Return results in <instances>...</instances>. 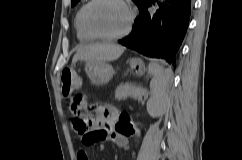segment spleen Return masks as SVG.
Returning <instances> with one entry per match:
<instances>
[{"mask_svg":"<svg viewBox=\"0 0 242 160\" xmlns=\"http://www.w3.org/2000/svg\"><path fill=\"white\" fill-rule=\"evenodd\" d=\"M149 73L153 76L150 87L155 95H163L171 79V70L156 62L149 63Z\"/></svg>","mask_w":242,"mask_h":160,"instance_id":"1","label":"spleen"}]
</instances>
